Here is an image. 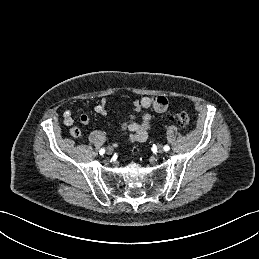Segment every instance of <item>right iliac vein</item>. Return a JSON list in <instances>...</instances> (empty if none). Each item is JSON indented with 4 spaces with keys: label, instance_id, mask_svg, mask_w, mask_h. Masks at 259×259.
<instances>
[{
    "label": "right iliac vein",
    "instance_id": "1",
    "mask_svg": "<svg viewBox=\"0 0 259 259\" xmlns=\"http://www.w3.org/2000/svg\"><path fill=\"white\" fill-rule=\"evenodd\" d=\"M106 153H107L108 155H111V154L113 153V148H112V147H107Z\"/></svg>",
    "mask_w": 259,
    "mask_h": 259
}]
</instances>
